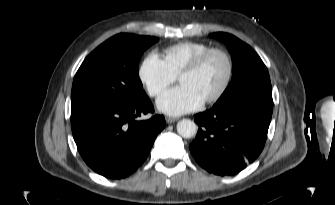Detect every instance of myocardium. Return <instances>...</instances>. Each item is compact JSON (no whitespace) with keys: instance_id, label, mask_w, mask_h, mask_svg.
I'll return each instance as SVG.
<instances>
[{"instance_id":"f54148a6","label":"myocardium","mask_w":335,"mask_h":205,"mask_svg":"<svg viewBox=\"0 0 335 205\" xmlns=\"http://www.w3.org/2000/svg\"><path fill=\"white\" fill-rule=\"evenodd\" d=\"M213 54H220L224 57V59L226 61V64H227V73H226L225 79H224L221 87L218 89V91L214 95H212L211 97L204 100L203 103H205V104H212V103H215V102L219 101L225 95V93L227 92V90H228V88L231 84L233 74H234V63H233V60H232V57L230 56V54L222 48H210V49L204 51L203 53H201L198 57H196L178 75V79L180 81V79L183 76L196 73L198 70H200L202 68V66L205 64V62L208 60V58Z\"/></svg>"}]
</instances>
